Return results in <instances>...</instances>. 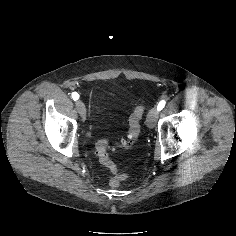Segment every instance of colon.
Segmentation results:
<instances>
[{"instance_id": "1", "label": "colon", "mask_w": 236, "mask_h": 236, "mask_svg": "<svg viewBox=\"0 0 236 236\" xmlns=\"http://www.w3.org/2000/svg\"><path fill=\"white\" fill-rule=\"evenodd\" d=\"M145 111L144 106H138L135 108L133 113L129 118V131H128V139L121 140L116 142L115 145L120 149H129L131 148L134 143L137 141L140 135V121ZM111 145V141L108 139H101L96 143V155L101 164L107 167L113 176L110 179V185L112 187H118L123 183L125 180L128 179V174L126 173H119L115 163L110 159L107 149Z\"/></svg>"}]
</instances>
